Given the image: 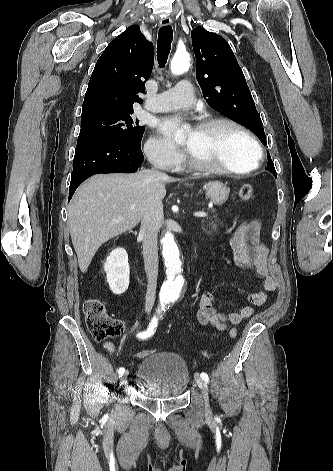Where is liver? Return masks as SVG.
I'll list each match as a JSON object with an SVG mask.
<instances>
[{
  "instance_id": "liver-1",
  "label": "liver",
  "mask_w": 333,
  "mask_h": 471,
  "mask_svg": "<svg viewBox=\"0 0 333 471\" xmlns=\"http://www.w3.org/2000/svg\"><path fill=\"white\" fill-rule=\"evenodd\" d=\"M176 181L163 173L98 174L76 191L68 223L80 270L85 272L99 247L140 222L146 204L162 202L165 184Z\"/></svg>"
}]
</instances>
